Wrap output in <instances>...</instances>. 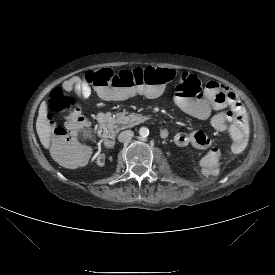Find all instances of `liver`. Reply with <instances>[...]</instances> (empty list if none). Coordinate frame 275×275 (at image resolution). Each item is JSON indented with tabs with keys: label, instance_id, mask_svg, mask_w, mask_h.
I'll return each instance as SVG.
<instances>
[{
	"label": "liver",
	"instance_id": "obj_1",
	"mask_svg": "<svg viewBox=\"0 0 275 275\" xmlns=\"http://www.w3.org/2000/svg\"><path fill=\"white\" fill-rule=\"evenodd\" d=\"M36 130L39 136V139L42 145L45 148L50 147L51 134L54 130V127L50 125L49 120L47 118V104L46 102H42L39 108V115L36 121ZM84 138H91V131L87 130L83 134Z\"/></svg>",
	"mask_w": 275,
	"mask_h": 275
}]
</instances>
